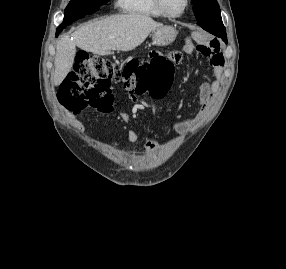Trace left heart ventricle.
Listing matches in <instances>:
<instances>
[{"mask_svg": "<svg viewBox=\"0 0 286 269\" xmlns=\"http://www.w3.org/2000/svg\"><path fill=\"white\" fill-rule=\"evenodd\" d=\"M185 0H164L165 7L171 13H179L184 7Z\"/></svg>", "mask_w": 286, "mask_h": 269, "instance_id": "left-heart-ventricle-1", "label": "left heart ventricle"}]
</instances>
